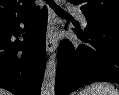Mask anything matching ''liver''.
<instances>
[{"instance_id": "liver-1", "label": "liver", "mask_w": 119, "mask_h": 95, "mask_svg": "<svg viewBox=\"0 0 119 95\" xmlns=\"http://www.w3.org/2000/svg\"><path fill=\"white\" fill-rule=\"evenodd\" d=\"M0 95H11L10 92L0 88Z\"/></svg>"}]
</instances>
